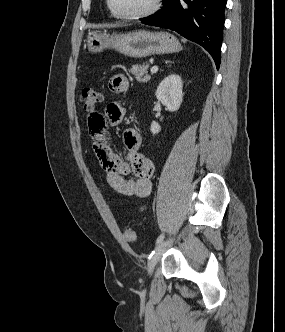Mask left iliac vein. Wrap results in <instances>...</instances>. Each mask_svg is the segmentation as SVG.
Here are the masks:
<instances>
[{
  "instance_id": "left-iliac-vein-1",
  "label": "left iliac vein",
  "mask_w": 285,
  "mask_h": 332,
  "mask_svg": "<svg viewBox=\"0 0 285 332\" xmlns=\"http://www.w3.org/2000/svg\"><path fill=\"white\" fill-rule=\"evenodd\" d=\"M172 242L173 239L168 238L157 245L154 255L148 261L147 270L149 274L153 272L156 264L158 263L164 252L172 245Z\"/></svg>"
}]
</instances>
